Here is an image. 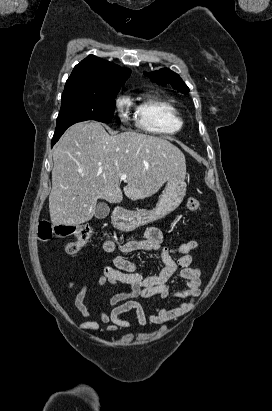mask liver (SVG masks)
<instances>
[{
	"label": "liver",
	"mask_w": 272,
	"mask_h": 411,
	"mask_svg": "<svg viewBox=\"0 0 272 411\" xmlns=\"http://www.w3.org/2000/svg\"><path fill=\"white\" fill-rule=\"evenodd\" d=\"M49 212L55 226L92 219L97 200L120 203L124 193L136 201L154 195L173 176L185 178V156L168 140L137 132L109 135L98 122L66 130L53 149Z\"/></svg>",
	"instance_id": "obj_1"
}]
</instances>
